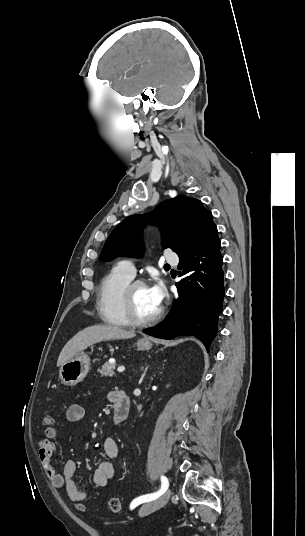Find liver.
Returning <instances> with one entry per match:
<instances>
[{
    "instance_id": "6515ba94",
    "label": "liver",
    "mask_w": 305,
    "mask_h": 536,
    "mask_svg": "<svg viewBox=\"0 0 305 536\" xmlns=\"http://www.w3.org/2000/svg\"><path fill=\"white\" fill-rule=\"evenodd\" d=\"M133 330L127 332L119 326H90L85 328L82 332H78L74 338H71L64 346L58 360L57 366H63L68 360L74 358L76 354L86 350L89 346L97 344V342H106V340H128V338H134Z\"/></svg>"
}]
</instances>
